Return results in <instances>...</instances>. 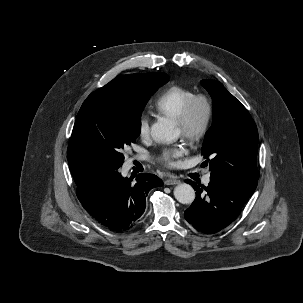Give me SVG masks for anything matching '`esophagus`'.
I'll return each instance as SVG.
<instances>
[{"label": "esophagus", "mask_w": 303, "mask_h": 303, "mask_svg": "<svg viewBox=\"0 0 303 303\" xmlns=\"http://www.w3.org/2000/svg\"><path fill=\"white\" fill-rule=\"evenodd\" d=\"M165 185H176L180 183V180L177 178H170L164 181Z\"/></svg>", "instance_id": "34e87169"}]
</instances>
